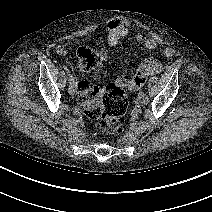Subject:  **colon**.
Returning a JSON list of instances; mask_svg holds the SVG:
<instances>
[{
    "instance_id": "colon-1",
    "label": "colon",
    "mask_w": 212,
    "mask_h": 212,
    "mask_svg": "<svg viewBox=\"0 0 212 212\" xmlns=\"http://www.w3.org/2000/svg\"><path fill=\"white\" fill-rule=\"evenodd\" d=\"M106 52L102 49L82 47L78 51L79 72L86 73L94 70L106 60ZM145 82V77L128 75L107 82L103 87L84 84V80L78 83L81 104L85 114L90 119L100 120L99 129L102 133L113 134L122 129L124 116L128 111L129 100L125 87L140 88Z\"/></svg>"
}]
</instances>
